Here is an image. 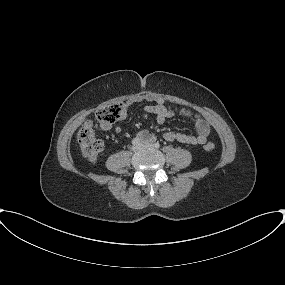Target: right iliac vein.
I'll list each match as a JSON object with an SVG mask.
<instances>
[{
	"label": "right iliac vein",
	"mask_w": 285,
	"mask_h": 285,
	"mask_svg": "<svg viewBox=\"0 0 285 285\" xmlns=\"http://www.w3.org/2000/svg\"><path fill=\"white\" fill-rule=\"evenodd\" d=\"M141 146H142V143H141V144H136V145H134V146L132 147V150H133V151H138V150L141 148Z\"/></svg>",
	"instance_id": "obj_1"
}]
</instances>
